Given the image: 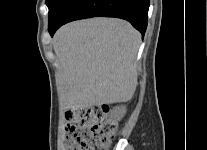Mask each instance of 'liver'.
Listing matches in <instances>:
<instances>
[{"label":"liver","mask_w":207,"mask_h":150,"mask_svg":"<svg viewBox=\"0 0 207 150\" xmlns=\"http://www.w3.org/2000/svg\"><path fill=\"white\" fill-rule=\"evenodd\" d=\"M140 33L117 18L61 27L53 47L62 68L63 103L72 111L129 101L137 87Z\"/></svg>","instance_id":"liver-1"}]
</instances>
